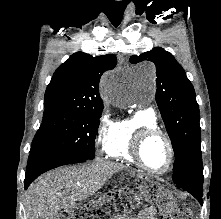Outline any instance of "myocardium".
<instances>
[{
	"instance_id": "f54148a6",
	"label": "myocardium",
	"mask_w": 221,
	"mask_h": 219,
	"mask_svg": "<svg viewBox=\"0 0 221 219\" xmlns=\"http://www.w3.org/2000/svg\"><path fill=\"white\" fill-rule=\"evenodd\" d=\"M155 136H160L161 138H163V140L167 144L168 151H169L168 165H167L166 169H164L162 171H158V170H154V169L150 168L145 163L143 156H142V149H143L144 144L149 139H151L152 137H155ZM130 153H131L132 158L136 162V164H138L141 168H143L144 170H146L147 172H149L151 174L159 175V176L165 175L168 172H170V170L173 167L174 160H175V150H174V146H173V143H172L170 137L165 132H163L162 130H160L157 127L144 126V127L138 128L135 131V133L133 134V137L131 140Z\"/></svg>"
}]
</instances>
